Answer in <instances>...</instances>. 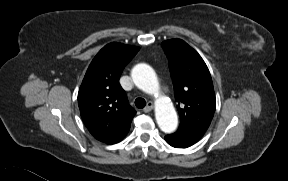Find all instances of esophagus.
Wrapping results in <instances>:
<instances>
[{
    "label": "esophagus",
    "instance_id": "34e87169",
    "mask_svg": "<svg viewBox=\"0 0 288 181\" xmlns=\"http://www.w3.org/2000/svg\"><path fill=\"white\" fill-rule=\"evenodd\" d=\"M153 102H151V101H149L148 103H147V106L143 109V111L145 112V113H148V112H150L152 109H153Z\"/></svg>",
    "mask_w": 288,
    "mask_h": 181
}]
</instances>
